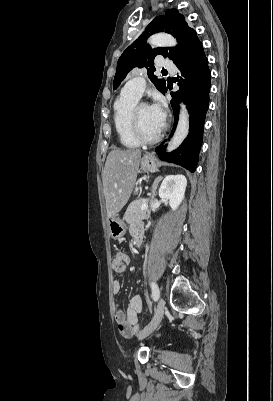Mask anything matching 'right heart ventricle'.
Returning a JSON list of instances; mask_svg holds the SVG:
<instances>
[{
  "label": "right heart ventricle",
  "mask_w": 273,
  "mask_h": 401,
  "mask_svg": "<svg viewBox=\"0 0 273 401\" xmlns=\"http://www.w3.org/2000/svg\"><path fill=\"white\" fill-rule=\"evenodd\" d=\"M138 98L130 94H120L113 103V121L121 144L128 148H137L142 145L132 134L130 129V114Z\"/></svg>",
  "instance_id": "right-heart-ventricle-1"
}]
</instances>
